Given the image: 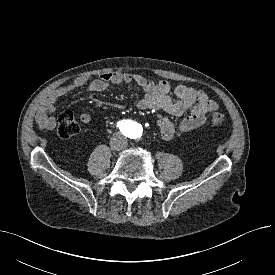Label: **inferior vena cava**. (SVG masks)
<instances>
[{
  "mask_svg": "<svg viewBox=\"0 0 275 275\" xmlns=\"http://www.w3.org/2000/svg\"><path fill=\"white\" fill-rule=\"evenodd\" d=\"M127 146V139L121 135L116 134L112 139V149L113 150H121Z\"/></svg>",
  "mask_w": 275,
  "mask_h": 275,
  "instance_id": "602c4592",
  "label": "inferior vena cava"
}]
</instances>
